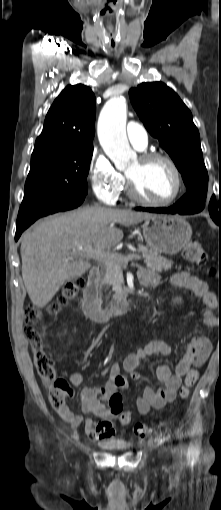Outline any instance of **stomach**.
<instances>
[{
  "label": "stomach",
  "mask_w": 221,
  "mask_h": 510,
  "mask_svg": "<svg viewBox=\"0 0 221 510\" xmlns=\"http://www.w3.org/2000/svg\"><path fill=\"white\" fill-rule=\"evenodd\" d=\"M143 236L149 248L158 253L177 254L190 241L192 228L177 215H155L143 224Z\"/></svg>",
  "instance_id": "1"
}]
</instances>
